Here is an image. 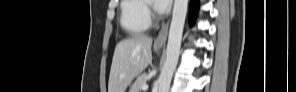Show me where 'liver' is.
Wrapping results in <instances>:
<instances>
[{"label":"liver","instance_id":"liver-1","mask_svg":"<svg viewBox=\"0 0 296 92\" xmlns=\"http://www.w3.org/2000/svg\"><path fill=\"white\" fill-rule=\"evenodd\" d=\"M152 38L134 35L115 47L109 75L108 92H125L132 80L152 62Z\"/></svg>","mask_w":296,"mask_h":92}]
</instances>
